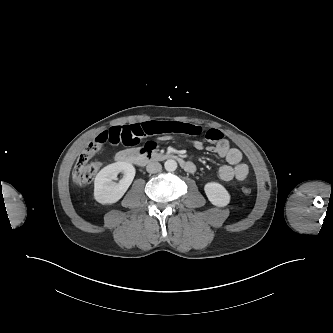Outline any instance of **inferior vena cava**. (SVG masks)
Segmentation results:
<instances>
[{"instance_id": "1", "label": "inferior vena cava", "mask_w": 333, "mask_h": 333, "mask_svg": "<svg viewBox=\"0 0 333 333\" xmlns=\"http://www.w3.org/2000/svg\"><path fill=\"white\" fill-rule=\"evenodd\" d=\"M162 166L159 162H151L147 165L146 170L148 173L154 174L160 172Z\"/></svg>"}]
</instances>
